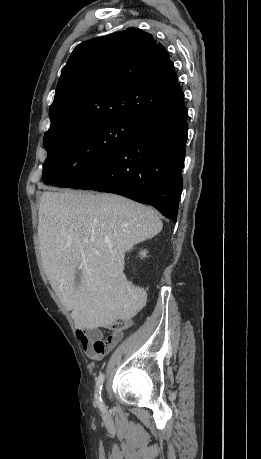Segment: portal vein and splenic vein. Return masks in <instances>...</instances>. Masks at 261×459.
I'll return each mask as SVG.
<instances>
[{
    "label": "portal vein and splenic vein",
    "mask_w": 261,
    "mask_h": 459,
    "mask_svg": "<svg viewBox=\"0 0 261 459\" xmlns=\"http://www.w3.org/2000/svg\"><path fill=\"white\" fill-rule=\"evenodd\" d=\"M92 240H93V239H91V241H92ZM89 241H90V240H88V239H84V242H85V243H88Z\"/></svg>",
    "instance_id": "obj_1"
}]
</instances>
